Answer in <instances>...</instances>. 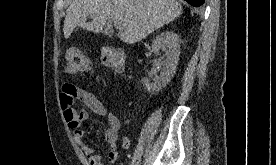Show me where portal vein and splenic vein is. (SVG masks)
Segmentation results:
<instances>
[{"label":"portal vein and splenic vein","instance_id":"1","mask_svg":"<svg viewBox=\"0 0 276 165\" xmlns=\"http://www.w3.org/2000/svg\"><path fill=\"white\" fill-rule=\"evenodd\" d=\"M114 25H115L116 27H119V26H120V22H119L118 20H116V21H114Z\"/></svg>","mask_w":276,"mask_h":165}]
</instances>
